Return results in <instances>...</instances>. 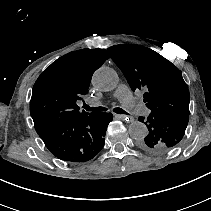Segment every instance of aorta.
Instances as JSON below:
<instances>
[{
    "mask_svg": "<svg viewBox=\"0 0 211 211\" xmlns=\"http://www.w3.org/2000/svg\"><path fill=\"white\" fill-rule=\"evenodd\" d=\"M92 84L104 91L113 90L118 84V75L111 68H99L93 75ZM128 130L130 136L137 140L144 138L148 134L146 125L140 121H132Z\"/></svg>",
    "mask_w": 211,
    "mask_h": 211,
    "instance_id": "obj_1",
    "label": "aorta"
}]
</instances>
